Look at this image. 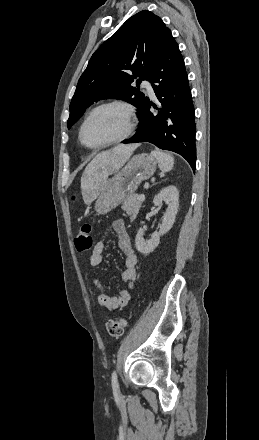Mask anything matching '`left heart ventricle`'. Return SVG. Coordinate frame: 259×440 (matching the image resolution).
<instances>
[{"instance_id":"1","label":"left heart ventricle","mask_w":259,"mask_h":440,"mask_svg":"<svg viewBox=\"0 0 259 440\" xmlns=\"http://www.w3.org/2000/svg\"><path fill=\"white\" fill-rule=\"evenodd\" d=\"M126 130L122 108L106 107L95 112L83 129V140L88 145L101 144L121 136Z\"/></svg>"}]
</instances>
